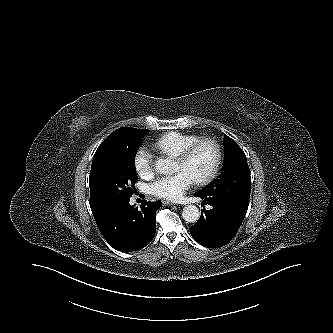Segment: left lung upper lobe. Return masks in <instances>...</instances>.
I'll use <instances>...</instances> for the list:
<instances>
[{
	"mask_svg": "<svg viewBox=\"0 0 333 333\" xmlns=\"http://www.w3.org/2000/svg\"><path fill=\"white\" fill-rule=\"evenodd\" d=\"M224 147L225 161L222 173L198 192H213L228 199L249 203L251 184L246 155L227 135L224 136Z\"/></svg>",
	"mask_w": 333,
	"mask_h": 333,
	"instance_id": "5c2ea615",
	"label": "left lung upper lobe"
}]
</instances>
